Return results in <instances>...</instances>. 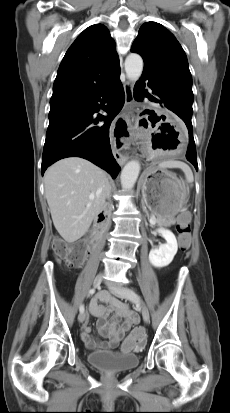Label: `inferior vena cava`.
I'll return each instance as SVG.
<instances>
[{
    "label": "inferior vena cava",
    "mask_w": 230,
    "mask_h": 413,
    "mask_svg": "<svg viewBox=\"0 0 230 413\" xmlns=\"http://www.w3.org/2000/svg\"><path fill=\"white\" fill-rule=\"evenodd\" d=\"M107 196L110 197V186L108 187Z\"/></svg>",
    "instance_id": "1"
}]
</instances>
